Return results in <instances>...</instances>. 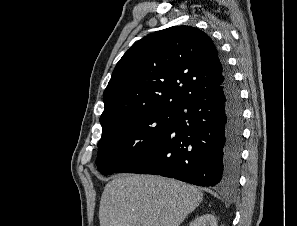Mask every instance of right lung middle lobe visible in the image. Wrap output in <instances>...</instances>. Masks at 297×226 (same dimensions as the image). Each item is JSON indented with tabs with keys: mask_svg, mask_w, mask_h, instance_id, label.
<instances>
[{
	"mask_svg": "<svg viewBox=\"0 0 297 226\" xmlns=\"http://www.w3.org/2000/svg\"><path fill=\"white\" fill-rule=\"evenodd\" d=\"M176 111H151L102 130L96 164L103 175L118 172L149 148L174 123Z\"/></svg>",
	"mask_w": 297,
	"mask_h": 226,
	"instance_id": "obj_1",
	"label": "right lung middle lobe"
}]
</instances>
